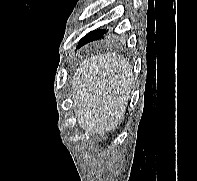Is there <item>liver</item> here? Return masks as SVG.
<instances>
[{
	"label": "liver",
	"instance_id": "obj_1",
	"mask_svg": "<svg viewBox=\"0 0 197 181\" xmlns=\"http://www.w3.org/2000/svg\"><path fill=\"white\" fill-rule=\"evenodd\" d=\"M133 81L129 61L116 53L82 61L73 76L71 94L80 127L92 134L114 131L124 118Z\"/></svg>",
	"mask_w": 197,
	"mask_h": 181
}]
</instances>
